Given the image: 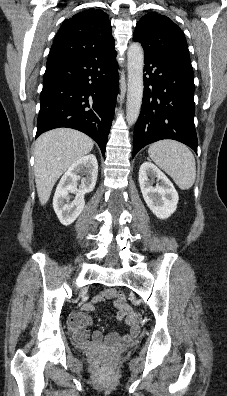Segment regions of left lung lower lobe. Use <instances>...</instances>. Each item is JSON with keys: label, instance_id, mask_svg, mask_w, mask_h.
I'll list each match as a JSON object with an SVG mask.
<instances>
[{"label": "left lung lower lobe", "instance_id": "obj_1", "mask_svg": "<svg viewBox=\"0 0 227 396\" xmlns=\"http://www.w3.org/2000/svg\"><path fill=\"white\" fill-rule=\"evenodd\" d=\"M144 56V96L134 130L133 157L162 139L177 140L197 152L191 62L159 52L144 51Z\"/></svg>", "mask_w": 227, "mask_h": 396}]
</instances>
